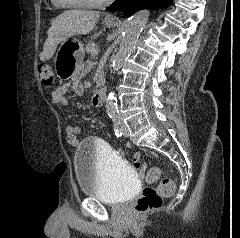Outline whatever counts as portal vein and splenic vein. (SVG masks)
<instances>
[{
	"label": "portal vein and splenic vein",
	"mask_w": 240,
	"mask_h": 238,
	"mask_svg": "<svg viewBox=\"0 0 240 238\" xmlns=\"http://www.w3.org/2000/svg\"><path fill=\"white\" fill-rule=\"evenodd\" d=\"M98 55V50H94L93 51V56L95 57V56H97Z\"/></svg>",
	"instance_id": "obj_1"
}]
</instances>
